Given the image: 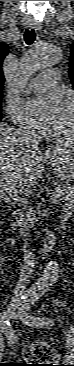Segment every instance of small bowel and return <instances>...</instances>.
<instances>
[{
	"instance_id": "c3829d8e",
	"label": "small bowel",
	"mask_w": 74,
	"mask_h": 366,
	"mask_svg": "<svg viewBox=\"0 0 74 366\" xmlns=\"http://www.w3.org/2000/svg\"><path fill=\"white\" fill-rule=\"evenodd\" d=\"M56 268L50 267L46 270L45 274L41 277L42 282H50L56 276ZM50 349V348H49ZM51 352V350H50Z\"/></svg>"
}]
</instances>
